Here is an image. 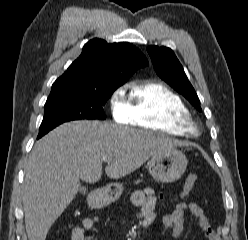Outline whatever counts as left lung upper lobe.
Segmentation results:
<instances>
[{
    "label": "left lung upper lobe",
    "instance_id": "left-lung-upper-lobe-1",
    "mask_svg": "<svg viewBox=\"0 0 248 240\" xmlns=\"http://www.w3.org/2000/svg\"><path fill=\"white\" fill-rule=\"evenodd\" d=\"M147 51L158 76L201 111L199 98L174 52L170 48L155 45L147 47Z\"/></svg>",
    "mask_w": 248,
    "mask_h": 240
}]
</instances>
